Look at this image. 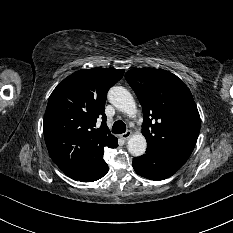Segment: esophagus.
<instances>
[{"instance_id": "obj_1", "label": "esophagus", "mask_w": 233, "mask_h": 233, "mask_svg": "<svg viewBox=\"0 0 233 233\" xmlns=\"http://www.w3.org/2000/svg\"><path fill=\"white\" fill-rule=\"evenodd\" d=\"M131 135H132V132L128 130L125 133L121 134V138L123 140H128L131 137Z\"/></svg>"}]
</instances>
